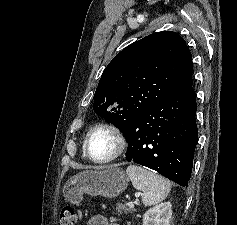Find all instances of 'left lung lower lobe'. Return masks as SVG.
Instances as JSON below:
<instances>
[{"instance_id":"1","label":"left lung lower lobe","mask_w":237,"mask_h":225,"mask_svg":"<svg viewBox=\"0 0 237 225\" xmlns=\"http://www.w3.org/2000/svg\"><path fill=\"white\" fill-rule=\"evenodd\" d=\"M195 114L196 93L192 87L154 105L124 133L127 161L188 186L198 140Z\"/></svg>"}]
</instances>
